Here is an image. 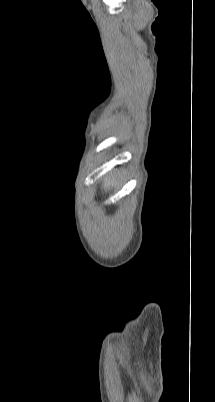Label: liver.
<instances>
[{"instance_id": "liver-1", "label": "liver", "mask_w": 215, "mask_h": 402, "mask_svg": "<svg viewBox=\"0 0 215 402\" xmlns=\"http://www.w3.org/2000/svg\"><path fill=\"white\" fill-rule=\"evenodd\" d=\"M115 186L114 180L113 179H108L104 181V190L106 191L107 189L109 190L111 187Z\"/></svg>"}]
</instances>
